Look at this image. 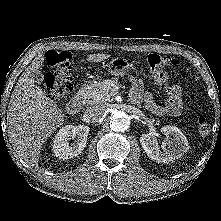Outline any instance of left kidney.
I'll return each instance as SVG.
<instances>
[{"instance_id":"obj_1","label":"left kidney","mask_w":221,"mask_h":221,"mask_svg":"<svg viewBox=\"0 0 221 221\" xmlns=\"http://www.w3.org/2000/svg\"><path fill=\"white\" fill-rule=\"evenodd\" d=\"M161 132L168 135L162 142V150L154 136L142 134L140 143L147 156L158 163H167L180 158L189 150V144L186 136L179 128L167 125L161 128Z\"/></svg>"}]
</instances>
